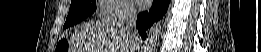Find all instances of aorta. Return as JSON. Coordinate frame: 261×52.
<instances>
[{
  "label": "aorta",
  "instance_id": "obj_1",
  "mask_svg": "<svg viewBox=\"0 0 261 52\" xmlns=\"http://www.w3.org/2000/svg\"><path fill=\"white\" fill-rule=\"evenodd\" d=\"M161 34V27H153L148 34L147 42L151 45L154 46L156 45L157 40L159 39V36ZM153 48V47H152Z\"/></svg>",
  "mask_w": 261,
  "mask_h": 52
}]
</instances>
